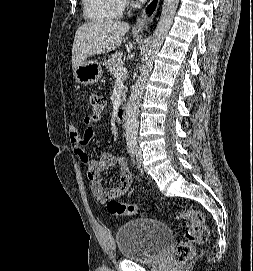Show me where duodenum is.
<instances>
[{
	"label": "duodenum",
	"instance_id": "410a0bca",
	"mask_svg": "<svg viewBox=\"0 0 253 271\" xmlns=\"http://www.w3.org/2000/svg\"><path fill=\"white\" fill-rule=\"evenodd\" d=\"M117 121L122 123L126 119V107L120 106L116 112Z\"/></svg>",
	"mask_w": 253,
	"mask_h": 271
}]
</instances>
